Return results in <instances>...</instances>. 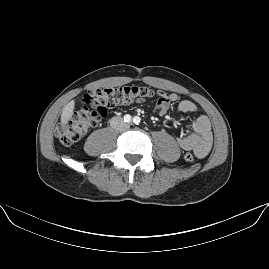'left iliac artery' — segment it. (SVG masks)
<instances>
[{
  "mask_svg": "<svg viewBox=\"0 0 269 269\" xmlns=\"http://www.w3.org/2000/svg\"><path fill=\"white\" fill-rule=\"evenodd\" d=\"M140 121H141V119L138 116H135L133 118V123L136 124V125H138L140 123Z\"/></svg>",
  "mask_w": 269,
  "mask_h": 269,
  "instance_id": "1",
  "label": "left iliac artery"
}]
</instances>
